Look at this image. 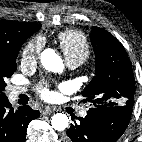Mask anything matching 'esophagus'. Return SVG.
Returning <instances> with one entry per match:
<instances>
[{
	"instance_id": "obj_1",
	"label": "esophagus",
	"mask_w": 142,
	"mask_h": 142,
	"mask_svg": "<svg viewBox=\"0 0 142 142\" xmlns=\"http://www.w3.org/2000/svg\"><path fill=\"white\" fill-rule=\"evenodd\" d=\"M54 111H56L55 108L46 106L44 109L41 110V114L42 115H49V114L53 113Z\"/></svg>"
}]
</instances>
